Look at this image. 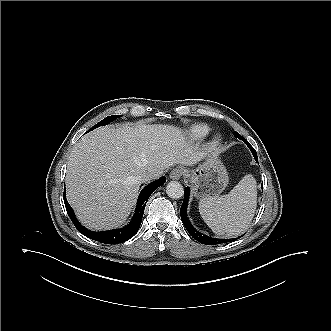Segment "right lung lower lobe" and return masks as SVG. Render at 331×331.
Here are the masks:
<instances>
[{
  "mask_svg": "<svg viewBox=\"0 0 331 331\" xmlns=\"http://www.w3.org/2000/svg\"><path fill=\"white\" fill-rule=\"evenodd\" d=\"M165 181H166V177H161L160 179H158V180L150 183L146 187H144V189L141 191V193L139 195L135 213H134V216H133L131 222L127 226H125L121 229H115V230H109V231H103V232H93L91 230H88L84 226H82L76 219L73 209L68 204L65 195H64V202H65L66 210H67L69 217L71 218L73 224L75 225V227L77 228V230L80 233H82L83 235H85L86 237H88L90 239L99 241L101 243L119 244V243L129 240L137 233V231L141 225L145 205L147 203L149 196L154 192V190L157 187L163 185L165 183Z\"/></svg>",
  "mask_w": 331,
  "mask_h": 331,
  "instance_id": "98d812e1",
  "label": "right lung lower lobe"
}]
</instances>
